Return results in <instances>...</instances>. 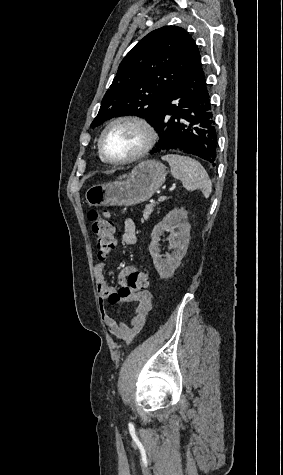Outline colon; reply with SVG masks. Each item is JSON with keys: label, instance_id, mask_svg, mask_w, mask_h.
Here are the masks:
<instances>
[{"label": "colon", "instance_id": "1", "mask_svg": "<svg viewBox=\"0 0 283 475\" xmlns=\"http://www.w3.org/2000/svg\"><path fill=\"white\" fill-rule=\"evenodd\" d=\"M90 225L95 236L97 256L106 259L115 249V228L108 219L106 212L91 209L88 213ZM149 284V273L146 269L133 271L127 276V285L119 290V297L138 294L145 291Z\"/></svg>", "mask_w": 283, "mask_h": 475}]
</instances>
